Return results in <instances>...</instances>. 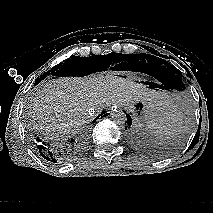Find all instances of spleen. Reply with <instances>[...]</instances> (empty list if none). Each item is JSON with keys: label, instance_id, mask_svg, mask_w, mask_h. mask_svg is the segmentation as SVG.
I'll list each match as a JSON object with an SVG mask.
<instances>
[{"label": "spleen", "instance_id": "3e777b00", "mask_svg": "<svg viewBox=\"0 0 213 213\" xmlns=\"http://www.w3.org/2000/svg\"><path fill=\"white\" fill-rule=\"evenodd\" d=\"M148 127L161 139L174 136L181 127V114L175 107L164 109L157 114Z\"/></svg>", "mask_w": 213, "mask_h": 213}]
</instances>
